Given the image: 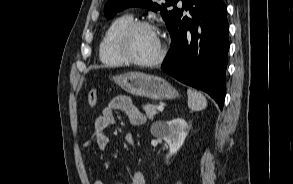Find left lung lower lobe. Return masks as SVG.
I'll use <instances>...</instances> for the list:
<instances>
[{"instance_id": "1", "label": "left lung lower lobe", "mask_w": 293, "mask_h": 184, "mask_svg": "<svg viewBox=\"0 0 293 184\" xmlns=\"http://www.w3.org/2000/svg\"><path fill=\"white\" fill-rule=\"evenodd\" d=\"M223 0H182L169 27L171 47L162 69L182 83L208 93L223 107L229 50Z\"/></svg>"}]
</instances>
